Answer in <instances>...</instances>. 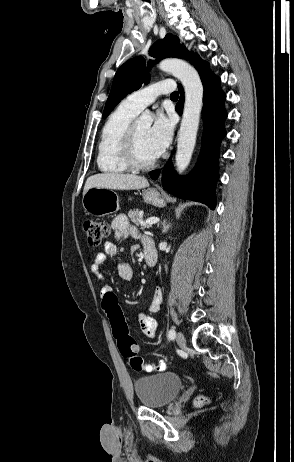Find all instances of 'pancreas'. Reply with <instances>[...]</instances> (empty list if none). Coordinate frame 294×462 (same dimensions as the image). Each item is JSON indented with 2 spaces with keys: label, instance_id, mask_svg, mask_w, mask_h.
<instances>
[{
  "label": "pancreas",
  "instance_id": "pancreas-1",
  "mask_svg": "<svg viewBox=\"0 0 294 462\" xmlns=\"http://www.w3.org/2000/svg\"><path fill=\"white\" fill-rule=\"evenodd\" d=\"M128 216L130 218V220L136 224V225H141L142 227H149L147 225H145L144 223V220H143V212L139 209H136V210H130L128 212Z\"/></svg>",
  "mask_w": 294,
  "mask_h": 462
}]
</instances>
